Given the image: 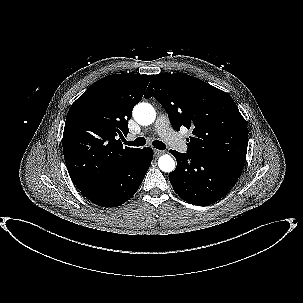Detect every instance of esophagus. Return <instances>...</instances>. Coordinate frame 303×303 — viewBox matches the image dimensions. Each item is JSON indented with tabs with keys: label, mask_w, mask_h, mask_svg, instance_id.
I'll list each match as a JSON object with an SVG mask.
<instances>
[{
	"label": "esophagus",
	"mask_w": 303,
	"mask_h": 303,
	"mask_svg": "<svg viewBox=\"0 0 303 303\" xmlns=\"http://www.w3.org/2000/svg\"><path fill=\"white\" fill-rule=\"evenodd\" d=\"M164 153H165V151H162V150H156V149L154 150V155L156 157H159V156H161Z\"/></svg>",
	"instance_id": "esophagus-1"
}]
</instances>
